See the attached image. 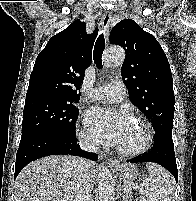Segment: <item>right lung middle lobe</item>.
Wrapping results in <instances>:
<instances>
[{
  "mask_svg": "<svg viewBox=\"0 0 196 201\" xmlns=\"http://www.w3.org/2000/svg\"><path fill=\"white\" fill-rule=\"evenodd\" d=\"M78 109L72 101L53 98H33L25 101L22 134L34 130H49L72 135Z\"/></svg>",
  "mask_w": 196,
  "mask_h": 201,
  "instance_id": "obj_1",
  "label": "right lung middle lobe"
}]
</instances>
